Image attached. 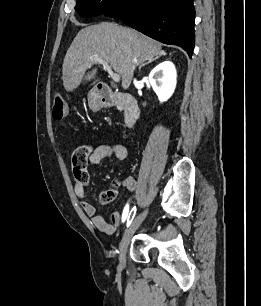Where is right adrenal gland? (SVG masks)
I'll return each instance as SVG.
<instances>
[{
	"mask_svg": "<svg viewBox=\"0 0 261 306\" xmlns=\"http://www.w3.org/2000/svg\"><path fill=\"white\" fill-rule=\"evenodd\" d=\"M163 55H166V53H161L159 56L155 57L154 59L149 60L148 62H146V63L140 65V66H139V71L141 70L142 67H144V66H146V65H148V64H150V63H152V62H154V61H156L159 57H161V56H163Z\"/></svg>",
	"mask_w": 261,
	"mask_h": 306,
	"instance_id": "obj_1",
	"label": "right adrenal gland"
}]
</instances>
